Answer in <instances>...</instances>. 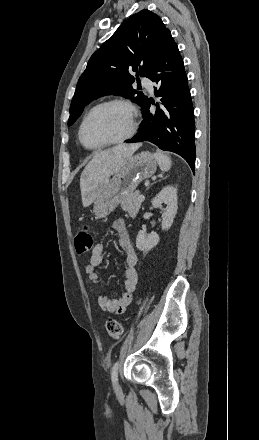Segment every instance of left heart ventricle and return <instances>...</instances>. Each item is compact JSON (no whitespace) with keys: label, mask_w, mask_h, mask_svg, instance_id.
Instances as JSON below:
<instances>
[{"label":"left heart ventricle","mask_w":259,"mask_h":440,"mask_svg":"<svg viewBox=\"0 0 259 440\" xmlns=\"http://www.w3.org/2000/svg\"><path fill=\"white\" fill-rule=\"evenodd\" d=\"M128 129L127 109L122 105H108L89 117L83 129V139L87 145L96 146L122 137Z\"/></svg>","instance_id":"1"}]
</instances>
